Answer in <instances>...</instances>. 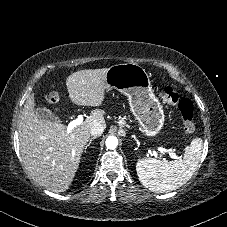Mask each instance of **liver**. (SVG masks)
Here are the masks:
<instances>
[{"instance_id":"6515ba94","label":"liver","mask_w":227,"mask_h":227,"mask_svg":"<svg viewBox=\"0 0 227 227\" xmlns=\"http://www.w3.org/2000/svg\"><path fill=\"white\" fill-rule=\"evenodd\" d=\"M107 68L85 69L66 79L70 100L81 106L99 107L105 99ZM31 94L19 122V147L27 173L52 192H64L78 170L81 155L90 139L91 127L106 126L101 109L91 111L85 121L70 133L59 122L41 120L35 113Z\"/></svg>"}]
</instances>
